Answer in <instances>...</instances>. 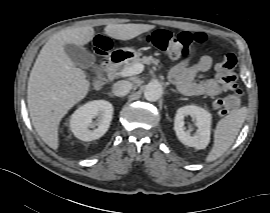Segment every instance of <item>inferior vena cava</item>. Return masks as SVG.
<instances>
[{"label":"inferior vena cava","instance_id":"obj_1","mask_svg":"<svg viewBox=\"0 0 270 213\" xmlns=\"http://www.w3.org/2000/svg\"><path fill=\"white\" fill-rule=\"evenodd\" d=\"M132 88V84L129 81H118L116 82L113 87L112 91L115 96L123 97L127 95Z\"/></svg>","mask_w":270,"mask_h":213}]
</instances>
